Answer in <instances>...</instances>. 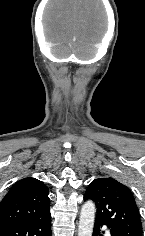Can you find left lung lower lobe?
Masks as SVG:
<instances>
[{
  "label": "left lung lower lobe",
  "mask_w": 145,
  "mask_h": 236,
  "mask_svg": "<svg viewBox=\"0 0 145 236\" xmlns=\"http://www.w3.org/2000/svg\"><path fill=\"white\" fill-rule=\"evenodd\" d=\"M103 224L104 223L96 219L94 230H93V236H103L102 234H100V228L102 227ZM111 236H114V235L111 233Z\"/></svg>",
  "instance_id": "left-lung-lower-lobe-1"
}]
</instances>
